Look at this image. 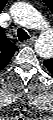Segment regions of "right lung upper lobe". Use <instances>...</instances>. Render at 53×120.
<instances>
[{
    "mask_svg": "<svg viewBox=\"0 0 53 120\" xmlns=\"http://www.w3.org/2000/svg\"><path fill=\"white\" fill-rule=\"evenodd\" d=\"M4 43L3 45H1V61L4 62L3 67L6 66L10 59L12 58L13 54L15 53V51H17V47L16 45H14L13 43H11L6 36L4 35Z\"/></svg>",
    "mask_w": 53,
    "mask_h": 120,
    "instance_id": "obj_1",
    "label": "right lung upper lobe"
}]
</instances>
